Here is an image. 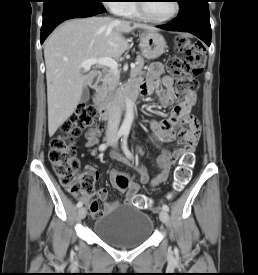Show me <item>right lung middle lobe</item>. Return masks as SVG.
<instances>
[{
  "instance_id": "obj_1",
  "label": "right lung middle lobe",
  "mask_w": 258,
  "mask_h": 275,
  "mask_svg": "<svg viewBox=\"0 0 258 275\" xmlns=\"http://www.w3.org/2000/svg\"><path fill=\"white\" fill-rule=\"evenodd\" d=\"M95 1H99V2H102L103 0H95Z\"/></svg>"
}]
</instances>
